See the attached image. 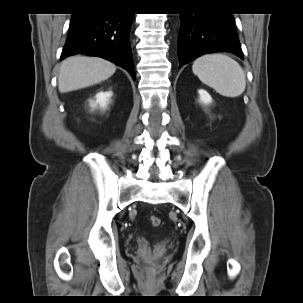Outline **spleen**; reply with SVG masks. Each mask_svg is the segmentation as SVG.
Instances as JSON below:
<instances>
[{
  "instance_id": "obj_1",
  "label": "spleen",
  "mask_w": 303,
  "mask_h": 303,
  "mask_svg": "<svg viewBox=\"0 0 303 303\" xmlns=\"http://www.w3.org/2000/svg\"><path fill=\"white\" fill-rule=\"evenodd\" d=\"M192 71L202 83L224 97H238L246 88L243 69L239 63L225 54L199 57L194 61Z\"/></svg>"
}]
</instances>
